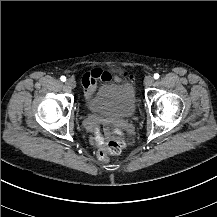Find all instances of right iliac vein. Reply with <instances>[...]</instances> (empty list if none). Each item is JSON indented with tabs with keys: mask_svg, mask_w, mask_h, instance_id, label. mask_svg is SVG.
I'll use <instances>...</instances> for the list:
<instances>
[{
	"mask_svg": "<svg viewBox=\"0 0 217 217\" xmlns=\"http://www.w3.org/2000/svg\"><path fill=\"white\" fill-rule=\"evenodd\" d=\"M65 85L70 89H74L76 87V82L74 79L70 78L66 80Z\"/></svg>",
	"mask_w": 217,
	"mask_h": 217,
	"instance_id": "right-iliac-vein-1",
	"label": "right iliac vein"
}]
</instances>
